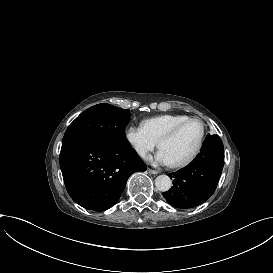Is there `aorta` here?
I'll use <instances>...</instances> for the list:
<instances>
[{"mask_svg":"<svg viewBox=\"0 0 273 273\" xmlns=\"http://www.w3.org/2000/svg\"><path fill=\"white\" fill-rule=\"evenodd\" d=\"M155 186L161 192L168 191L172 186V180L167 175H159L155 179Z\"/></svg>","mask_w":273,"mask_h":273,"instance_id":"762f6f07","label":"aorta"}]
</instances>
